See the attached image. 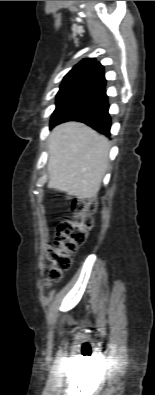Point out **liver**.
Returning <instances> with one entry per match:
<instances>
[{"mask_svg": "<svg viewBox=\"0 0 155 395\" xmlns=\"http://www.w3.org/2000/svg\"><path fill=\"white\" fill-rule=\"evenodd\" d=\"M110 143L79 122L56 126L48 140V187L80 200L97 195L109 165Z\"/></svg>", "mask_w": 155, "mask_h": 395, "instance_id": "6515ba94", "label": "liver"}]
</instances>
